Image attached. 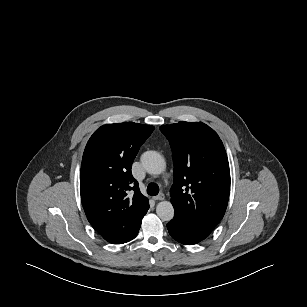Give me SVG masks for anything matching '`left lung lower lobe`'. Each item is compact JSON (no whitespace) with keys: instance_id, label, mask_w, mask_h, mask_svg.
I'll return each mask as SVG.
<instances>
[{"instance_id":"1","label":"left lung lower lobe","mask_w":307,"mask_h":307,"mask_svg":"<svg viewBox=\"0 0 307 307\" xmlns=\"http://www.w3.org/2000/svg\"><path fill=\"white\" fill-rule=\"evenodd\" d=\"M167 228L172 238L185 245L196 244L207 237L193 230L177 217L167 224Z\"/></svg>"}]
</instances>
